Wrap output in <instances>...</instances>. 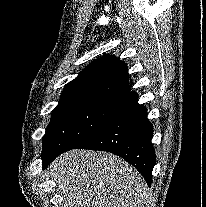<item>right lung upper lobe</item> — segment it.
Here are the masks:
<instances>
[{
    "instance_id": "1",
    "label": "right lung upper lobe",
    "mask_w": 206,
    "mask_h": 207,
    "mask_svg": "<svg viewBox=\"0 0 206 207\" xmlns=\"http://www.w3.org/2000/svg\"><path fill=\"white\" fill-rule=\"evenodd\" d=\"M130 94L127 65L113 55L90 63L62 93L61 101L83 98L124 97Z\"/></svg>"
}]
</instances>
